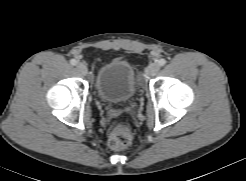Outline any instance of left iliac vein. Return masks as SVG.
I'll use <instances>...</instances> for the list:
<instances>
[{"label":"left iliac vein","mask_w":246,"mask_h":181,"mask_svg":"<svg viewBox=\"0 0 246 181\" xmlns=\"http://www.w3.org/2000/svg\"><path fill=\"white\" fill-rule=\"evenodd\" d=\"M158 71H159V65L157 63H151L146 69V74L148 77H152L156 75Z\"/></svg>","instance_id":"left-iliac-vein-1"}]
</instances>
